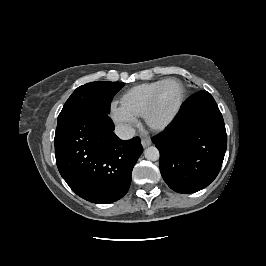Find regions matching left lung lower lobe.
Instances as JSON below:
<instances>
[{"label":"left lung lower lobe","mask_w":266,"mask_h":266,"mask_svg":"<svg viewBox=\"0 0 266 266\" xmlns=\"http://www.w3.org/2000/svg\"><path fill=\"white\" fill-rule=\"evenodd\" d=\"M164 181L178 193H194L218 175L227 148L222 114L210 93L190 97L166 132L152 139Z\"/></svg>","instance_id":"0a47b994"}]
</instances>
